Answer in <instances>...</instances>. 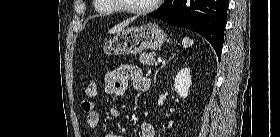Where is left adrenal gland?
Listing matches in <instances>:
<instances>
[{"mask_svg": "<svg viewBox=\"0 0 280 137\" xmlns=\"http://www.w3.org/2000/svg\"><path fill=\"white\" fill-rule=\"evenodd\" d=\"M174 56H175V54H173L172 57H171L170 59H172ZM170 59H169V60H170Z\"/></svg>", "mask_w": 280, "mask_h": 137, "instance_id": "a2214340", "label": "left adrenal gland"}]
</instances>
